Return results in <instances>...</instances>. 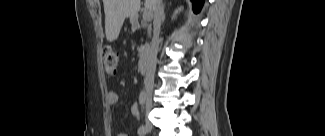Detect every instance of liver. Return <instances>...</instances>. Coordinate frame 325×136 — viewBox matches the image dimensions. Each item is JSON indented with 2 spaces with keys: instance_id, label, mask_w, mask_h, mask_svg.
Returning <instances> with one entry per match:
<instances>
[{
  "instance_id": "6515ba94",
  "label": "liver",
  "mask_w": 325,
  "mask_h": 136,
  "mask_svg": "<svg viewBox=\"0 0 325 136\" xmlns=\"http://www.w3.org/2000/svg\"><path fill=\"white\" fill-rule=\"evenodd\" d=\"M105 12V33L109 42L119 36L126 17L136 19L141 6V0H103ZM146 7L152 10L150 0H146Z\"/></svg>"
}]
</instances>
